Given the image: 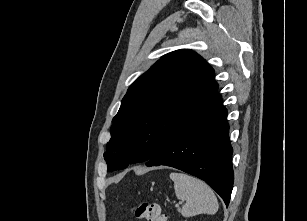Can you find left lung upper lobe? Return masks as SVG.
<instances>
[{
  "mask_svg": "<svg viewBox=\"0 0 307 221\" xmlns=\"http://www.w3.org/2000/svg\"><path fill=\"white\" fill-rule=\"evenodd\" d=\"M213 73L201 56L181 49L164 55L142 74L129 87L112 120L110 150L104 154L108 171L148 161L219 101Z\"/></svg>",
  "mask_w": 307,
  "mask_h": 221,
  "instance_id": "left-lung-upper-lobe-1",
  "label": "left lung upper lobe"
}]
</instances>
